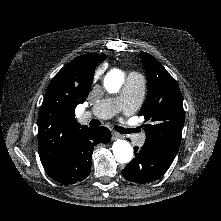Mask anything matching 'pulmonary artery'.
I'll list each match as a JSON object with an SVG mask.
<instances>
[{"mask_svg":"<svg viewBox=\"0 0 221 221\" xmlns=\"http://www.w3.org/2000/svg\"><path fill=\"white\" fill-rule=\"evenodd\" d=\"M145 83L142 75L136 72H131L126 79V83L122 94L110 100L98 102L90 111L82 115L81 120L86 121L90 118L107 119L112 117L120 109L131 113L136 109L144 94ZM143 136H138L135 139L137 144H141Z\"/></svg>","mask_w":221,"mask_h":221,"instance_id":"1","label":"pulmonary artery"}]
</instances>
